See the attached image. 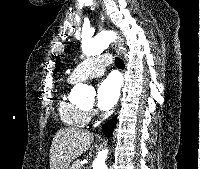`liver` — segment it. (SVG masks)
Segmentation results:
<instances>
[{"label": "liver", "instance_id": "1", "mask_svg": "<svg viewBox=\"0 0 200 169\" xmlns=\"http://www.w3.org/2000/svg\"><path fill=\"white\" fill-rule=\"evenodd\" d=\"M93 133L76 128H62L50 147V169H68L70 163L86 152L93 143Z\"/></svg>", "mask_w": 200, "mask_h": 169}]
</instances>
